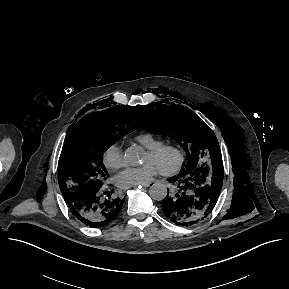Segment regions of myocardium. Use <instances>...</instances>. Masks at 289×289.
Masks as SVG:
<instances>
[{
  "mask_svg": "<svg viewBox=\"0 0 289 289\" xmlns=\"http://www.w3.org/2000/svg\"><path fill=\"white\" fill-rule=\"evenodd\" d=\"M166 152H173L175 154V163L171 167L163 168L159 171L163 175H174L181 170L185 162V152L180 145L175 143H163L154 148L147 149V153L154 157H160Z\"/></svg>",
  "mask_w": 289,
  "mask_h": 289,
  "instance_id": "obj_1",
  "label": "myocardium"
}]
</instances>
